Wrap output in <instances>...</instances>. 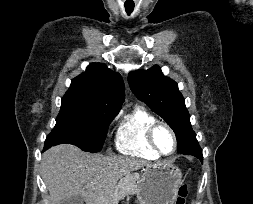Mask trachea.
I'll list each match as a JSON object with an SVG mask.
<instances>
[{"label":"trachea","instance_id":"1","mask_svg":"<svg viewBox=\"0 0 253 204\" xmlns=\"http://www.w3.org/2000/svg\"><path fill=\"white\" fill-rule=\"evenodd\" d=\"M134 10V4L133 5H125V11L127 15H130Z\"/></svg>","mask_w":253,"mask_h":204}]
</instances>
